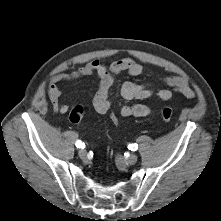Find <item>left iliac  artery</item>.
<instances>
[{"label": "left iliac artery", "mask_w": 221, "mask_h": 221, "mask_svg": "<svg viewBox=\"0 0 221 221\" xmlns=\"http://www.w3.org/2000/svg\"><path fill=\"white\" fill-rule=\"evenodd\" d=\"M128 148H129L130 150H132V151H136V150L138 149V145H137V144H130V145L128 146Z\"/></svg>", "instance_id": "obj_1"}]
</instances>
